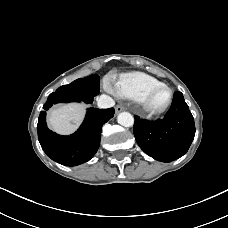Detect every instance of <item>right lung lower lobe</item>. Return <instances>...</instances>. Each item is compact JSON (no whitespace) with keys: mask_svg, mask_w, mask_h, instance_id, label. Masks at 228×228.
I'll return each instance as SVG.
<instances>
[{"mask_svg":"<svg viewBox=\"0 0 228 228\" xmlns=\"http://www.w3.org/2000/svg\"><path fill=\"white\" fill-rule=\"evenodd\" d=\"M80 101L75 97L51 93L41 111L37 132L44 152L52 160L65 165L76 166L89 161L100 145L103 124L113 117L115 110L90 108L80 128L70 136H60L47 128L46 110L59 102Z\"/></svg>","mask_w":228,"mask_h":228,"instance_id":"1","label":"right lung lower lobe"}]
</instances>
